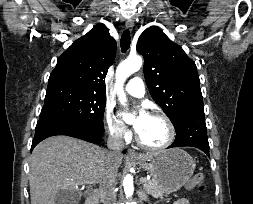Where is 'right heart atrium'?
<instances>
[{"mask_svg":"<svg viewBox=\"0 0 253 204\" xmlns=\"http://www.w3.org/2000/svg\"><path fill=\"white\" fill-rule=\"evenodd\" d=\"M105 127L109 136L117 141H127L131 136L124 123L110 109L105 113Z\"/></svg>","mask_w":253,"mask_h":204,"instance_id":"1","label":"right heart atrium"}]
</instances>
